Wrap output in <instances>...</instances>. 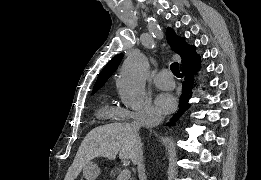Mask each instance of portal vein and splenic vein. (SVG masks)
<instances>
[{"instance_id": "1", "label": "portal vein and splenic vein", "mask_w": 261, "mask_h": 180, "mask_svg": "<svg viewBox=\"0 0 261 180\" xmlns=\"http://www.w3.org/2000/svg\"><path fill=\"white\" fill-rule=\"evenodd\" d=\"M129 178H131V172L125 168V170H122L121 174H119L117 180H129Z\"/></svg>"}]
</instances>
